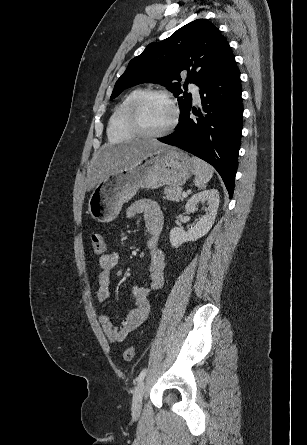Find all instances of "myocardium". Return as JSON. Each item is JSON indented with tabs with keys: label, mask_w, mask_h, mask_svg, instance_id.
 Returning <instances> with one entry per match:
<instances>
[{
	"label": "myocardium",
	"mask_w": 307,
	"mask_h": 445,
	"mask_svg": "<svg viewBox=\"0 0 307 445\" xmlns=\"http://www.w3.org/2000/svg\"><path fill=\"white\" fill-rule=\"evenodd\" d=\"M151 98H161L163 100H165L172 108V119L171 122L169 123V125L163 129L160 132L157 133H153L148 131L141 120V108L143 106V104L151 99ZM179 120V110L178 107L176 105V103L174 102V100L171 98L170 95H168L167 93L160 91V90H147L144 91L132 104L131 109H130V123L132 125L133 130L135 131L136 134H138L140 136V139H163L165 138L167 135H169L177 126Z\"/></svg>",
	"instance_id": "obj_1"
}]
</instances>
